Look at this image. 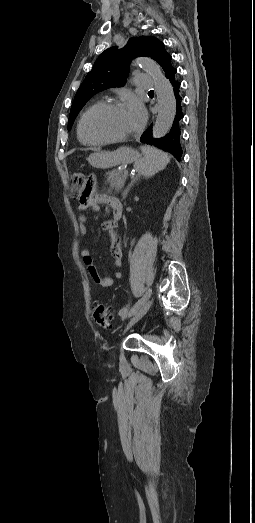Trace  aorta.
Here are the masks:
<instances>
[{"instance_id":"obj_1","label":"aorta","mask_w":255,"mask_h":523,"mask_svg":"<svg viewBox=\"0 0 255 523\" xmlns=\"http://www.w3.org/2000/svg\"><path fill=\"white\" fill-rule=\"evenodd\" d=\"M153 79L158 101V115L153 127V137H163L172 126L176 101L173 87L162 72L161 67L152 59L141 57L134 61Z\"/></svg>"}]
</instances>
